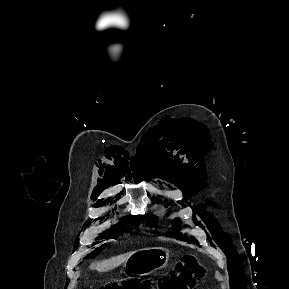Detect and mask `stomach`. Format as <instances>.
<instances>
[{"label": "stomach", "mask_w": 289, "mask_h": 289, "mask_svg": "<svg viewBox=\"0 0 289 289\" xmlns=\"http://www.w3.org/2000/svg\"><path fill=\"white\" fill-rule=\"evenodd\" d=\"M168 259L169 251L165 248H145L130 256L124 269L130 274L144 276L164 267Z\"/></svg>", "instance_id": "obj_1"}]
</instances>
